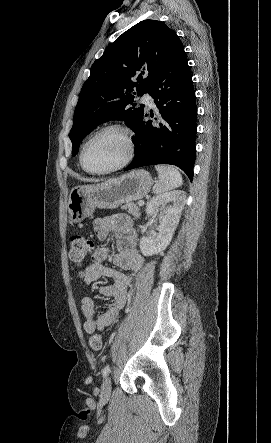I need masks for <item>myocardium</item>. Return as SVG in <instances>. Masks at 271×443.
Here are the masks:
<instances>
[{
    "label": "myocardium",
    "instance_id": "obj_1",
    "mask_svg": "<svg viewBox=\"0 0 271 443\" xmlns=\"http://www.w3.org/2000/svg\"><path fill=\"white\" fill-rule=\"evenodd\" d=\"M108 130H118L120 132L123 133L126 142H127V153L125 155V157L123 158L122 161H120L118 164L106 168V169H102V170H94L89 168L86 165L85 162V150L88 146V144L98 135H100L101 133L108 131ZM136 151H137V143H136V138H135V134L134 131L127 125L122 124V123H110L107 124L101 128H99L97 131H95L92 135H90L88 137V139L84 142V144L81 147L80 150V155H79V161L81 164V167L84 171H86L87 173L90 174H108L114 171H117L119 169H122L123 167L127 166L135 157L136 155Z\"/></svg>",
    "mask_w": 271,
    "mask_h": 443
}]
</instances>
